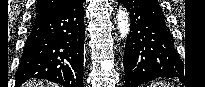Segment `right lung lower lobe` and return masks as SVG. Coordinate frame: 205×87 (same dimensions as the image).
I'll return each mask as SVG.
<instances>
[{"label":"right lung lower lobe","instance_id":"98d812e1","mask_svg":"<svg viewBox=\"0 0 205 87\" xmlns=\"http://www.w3.org/2000/svg\"><path fill=\"white\" fill-rule=\"evenodd\" d=\"M84 37L83 0L36 15L15 74V85L37 78L64 87H83Z\"/></svg>","mask_w":205,"mask_h":87}]
</instances>
